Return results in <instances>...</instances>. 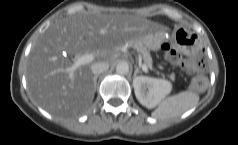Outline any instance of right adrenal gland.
Returning <instances> with one entry per match:
<instances>
[{
    "label": "right adrenal gland",
    "mask_w": 238,
    "mask_h": 145,
    "mask_svg": "<svg viewBox=\"0 0 238 145\" xmlns=\"http://www.w3.org/2000/svg\"><path fill=\"white\" fill-rule=\"evenodd\" d=\"M97 78H98V75L94 76V88L96 90V85H97Z\"/></svg>",
    "instance_id": "right-adrenal-gland-1"
}]
</instances>
